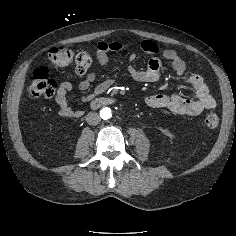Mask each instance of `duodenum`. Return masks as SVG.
Wrapping results in <instances>:
<instances>
[{"label": "duodenum", "mask_w": 236, "mask_h": 236, "mask_svg": "<svg viewBox=\"0 0 236 236\" xmlns=\"http://www.w3.org/2000/svg\"><path fill=\"white\" fill-rule=\"evenodd\" d=\"M113 102H114V100L112 98L98 97V98H95L91 102V106L93 108H97V107H102V106H106V105L112 104Z\"/></svg>", "instance_id": "410a0bca"}]
</instances>
